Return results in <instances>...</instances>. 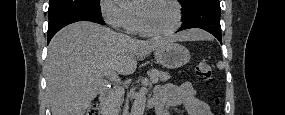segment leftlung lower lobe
<instances>
[{
	"instance_id": "1",
	"label": "left lung lower lobe",
	"mask_w": 285,
	"mask_h": 115,
	"mask_svg": "<svg viewBox=\"0 0 285 115\" xmlns=\"http://www.w3.org/2000/svg\"><path fill=\"white\" fill-rule=\"evenodd\" d=\"M219 0H200L182 13L183 24L178 31L201 28L214 35L222 44Z\"/></svg>"
}]
</instances>
